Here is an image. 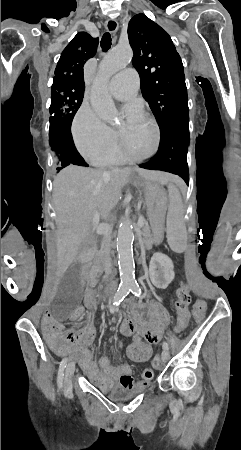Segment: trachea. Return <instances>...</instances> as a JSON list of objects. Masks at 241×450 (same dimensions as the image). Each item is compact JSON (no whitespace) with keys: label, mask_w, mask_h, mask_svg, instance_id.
I'll return each mask as SVG.
<instances>
[{"label":"trachea","mask_w":241,"mask_h":450,"mask_svg":"<svg viewBox=\"0 0 241 450\" xmlns=\"http://www.w3.org/2000/svg\"><path fill=\"white\" fill-rule=\"evenodd\" d=\"M111 44H112V38H111L110 33H108V32L104 33V35L102 36V39H101L102 50L104 52H106L111 47Z\"/></svg>","instance_id":"trachea-1"}]
</instances>
